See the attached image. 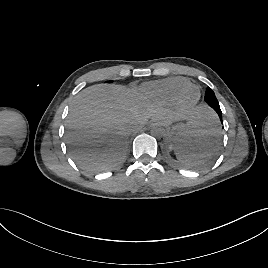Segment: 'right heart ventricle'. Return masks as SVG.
<instances>
[{"instance_id":"e07e8e85","label":"right heart ventricle","mask_w":268,"mask_h":268,"mask_svg":"<svg viewBox=\"0 0 268 268\" xmlns=\"http://www.w3.org/2000/svg\"><path fill=\"white\" fill-rule=\"evenodd\" d=\"M191 83L182 77H173L163 79L144 87V92L151 97L162 100H174L177 94L184 88L190 86Z\"/></svg>"}]
</instances>
